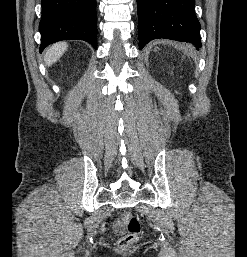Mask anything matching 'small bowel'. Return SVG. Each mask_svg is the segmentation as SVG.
Segmentation results:
<instances>
[{
	"label": "small bowel",
	"instance_id": "small-bowel-1",
	"mask_svg": "<svg viewBox=\"0 0 247 257\" xmlns=\"http://www.w3.org/2000/svg\"><path fill=\"white\" fill-rule=\"evenodd\" d=\"M114 229L116 232L120 233L123 230L122 224L119 221H116L114 224Z\"/></svg>",
	"mask_w": 247,
	"mask_h": 257
}]
</instances>
